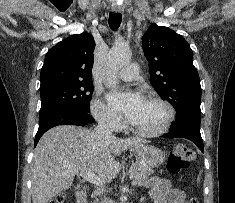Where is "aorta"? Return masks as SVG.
Returning a JSON list of instances; mask_svg holds the SVG:
<instances>
[{
	"label": "aorta",
	"mask_w": 235,
	"mask_h": 203,
	"mask_svg": "<svg viewBox=\"0 0 235 203\" xmlns=\"http://www.w3.org/2000/svg\"><path fill=\"white\" fill-rule=\"evenodd\" d=\"M131 60V51L124 43L115 44L108 53V72L106 84L109 87H116L119 83L116 74Z\"/></svg>",
	"instance_id": "1"
}]
</instances>
